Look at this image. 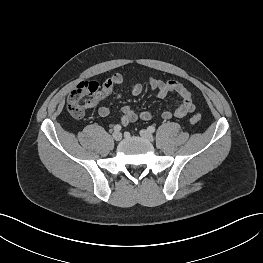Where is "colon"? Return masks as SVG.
I'll list each match as a JSON object with an SVG mask.
<instances>
[{
  "mask_svg": "<svg viewBox=\"0 0 263 263\" xmlns=\"http://www.w3.org/2000/svg\"><path fill=\"white\" fill-rule=\"evenodd\" d=\"M99 86L96 82L85 81L75 86L67 98V110L74 118H81L86 109L92 105L94 96L98 93ZM200 115L191 117L190 121L196 124L200 121Z\"/></svg>",
  "mask_w": 263,
  "mask_h": 263,
  "instance_id": "5ec220e1",
  "label": "colon"
}]
</instances>
